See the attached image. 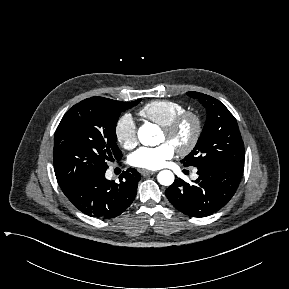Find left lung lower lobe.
Returning <instances> with one entry per match:
<instances>
[{
	"label": "left lung lower lobe",
	"mask_w": 289,
	"mask_h": 289,
	"mask_svg": "<svg viewBox=\"0 0 289 289\" xmlns=\"http://www.w3.org/2000/svg\"><path fill=\"white\" fill-rule=\"evenodd\" d=\"M194 184L176 179L166 190L171 204L186 215L206 217L224 207L235 194L243 167L229 163H209L197 167Z\"/></svg>",
	"instance_id": "1"
}]
</instances>
